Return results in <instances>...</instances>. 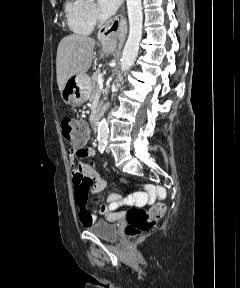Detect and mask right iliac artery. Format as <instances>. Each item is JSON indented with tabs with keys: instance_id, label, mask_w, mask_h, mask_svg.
Segmentation results:
<instances>
[{
	"instance_id": "right-iliac-artery-1",
	"label": "right iliac artery",
	"mask_w": 240,
	"mask_h": 288,
	"mask_svg": "<svg viewBox=\"0 0 240 288\" xmlns=\"http://www.w3.org/2000/svg\"><path fill=\"white\" fill-rule=\"evenodd\" d=\"M106 144H107V142H106V141H100V142H99V145H98V150H99L101 153H103V152H104V150H105V147H106Z\"/></svg>"
}]
</instances>
